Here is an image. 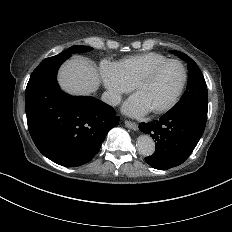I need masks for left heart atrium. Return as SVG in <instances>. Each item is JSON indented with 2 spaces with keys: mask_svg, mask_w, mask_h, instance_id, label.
Here are the masks:
<instances>
[{
  "mask_svg": "<svg viewBox=\"0 0 232 232\" xmlns=\"http://www.w3.org/2000/svg\"><path fill=\"white\" fill-rule=\"evenodd\" d=\"M122 111L126 115L139 117L151 112V108L143 101L139 94H133L122 106Z\"/></svg>",
  "mask_w": 232,
  "mask_h": 232,
  "instance_id": "left-heart-atrium-1",
  "label": "left heart atrium"
}]
</instances>
